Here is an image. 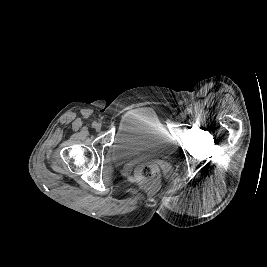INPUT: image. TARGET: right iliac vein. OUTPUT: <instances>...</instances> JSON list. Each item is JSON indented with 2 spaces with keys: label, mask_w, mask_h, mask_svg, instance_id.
Returning a JSON list of instances; mask_svg holds the SVG:
<instances>
[{
  "label": "right iliac vein",
  "mask_w": 267,
  "mask_h": 267,
  "mask_svg": "<svg viewBox=\"0 0 267 267\" xmlns=\"http://www.w3.org/2000/svg\"><path fill=\"white\" fill-rule=\"evenodd\" d=\"M95 129H96V131H100L101 130V125L100 124H97L96 126H95Z\"/></svg>",
  "instance_id": "obj_1"
}]
</instances>
